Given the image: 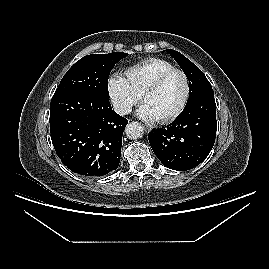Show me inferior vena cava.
I'll use <instances>...</instances> for the list:
<instances>
[{
    "label": "inferior vena cava",
    "instance_id": "inferior-vena-cava-1",
    "mask_svg": "<svg viewBox=\"0 0 269 269\" xmlns=\"http://www.w3.org/2000/svg\"><path fill=\"white\" fill-rule=\"evenodd\" d=\"M113 109L119 115H126L131 111L130 106L122 102H114Z\"/></svg>",
    "mask_w": 269,
    "mask_h": 269
}]
</instances>
